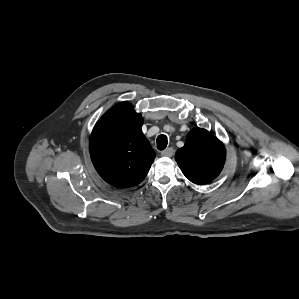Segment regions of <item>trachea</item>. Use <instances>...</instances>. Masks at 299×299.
I'll list each match as a JSON object with an SVG mask.
<instances>
[{
  "mask_svg": "<svg viewBox=\"0 0 299 299\" xmlns=\"http://www.w3.org/2000/svg\"><path fill=\"white\" fill-rule=\"evenodd\" d=\"M168 144V139L166 135H159L157 138V148L159 150H164Z\"/></svg>",
  "mask_w": 299,
  "mask_h": 299,
  "instance_id": "1",
  "label": "trachea"
}]
</instances>
